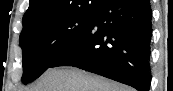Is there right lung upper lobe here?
<instances>
[{"label":"right lung upper lobe","instance_id":"cb5924a9","mask_svg":"<svg viewBox=\"0 0 173 91\" xmlns=\"http://www.w3.org/2000/svg\"><path fill=\"white\" fill-rule=\"evenodd\" d=\"M100 0H30L23 16V29L40 21L96 10Z\"/></svg>","mask_w":173,"mask_h":91}]
</instances>
